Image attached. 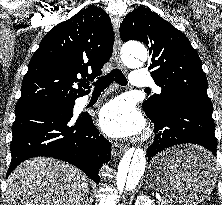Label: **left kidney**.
Returning <instances> with one entry per match:
<instances>
[{"instance_id":"5707ae66","label":"left kidney","mask_w":222,"mask_h":205,"mask_svg":"<svg viewBox=\"0 0 222 205\" xmlns=\"http://www.w3.org/2000/svg\"><path fill=\"white\" fill-rule=\"evenodd\" d=\"M135 205H155V203L146 195L137 197Z\"/></svg>"}]
</instances>
